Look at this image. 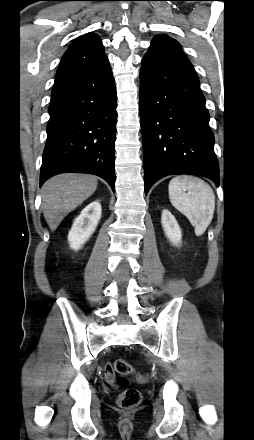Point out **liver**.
<instances>
[{
	"label": "liver",
	"mask_w": 254,
	"mask_h": 440,
	"mask_svg": "<svg viewBox=\"0 0 254 440\" xmlns=\"http://www.w3.org/2000/svg\"><path fill=\"white\" fill-rule=\"evenodd\" d=\"M97 188L92 175L64 173L52 177L42 187V209L52 231L63 218L88 199Z\"/></svg>",
	"instance_id": "6515ba94"
}]
</instances>
